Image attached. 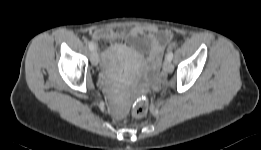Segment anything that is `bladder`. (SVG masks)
<instances>
[{
	"label": "bladder",
	"mask_w": 261,
	"mask_h": 150,
	"mask_svg": "<svg viewBox=\"0 0 261 150\" xmlns=\"http://www.w3.org/2000/svg\"><path fill=\"white\" fill-rule=\"evenodd\" d=\"M116 63V56L115 55H110L106 58L105 60V65L107 68H111L115 66Z\"/></svg>",
	"instance_id": "1"
}]
</instances>
